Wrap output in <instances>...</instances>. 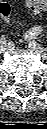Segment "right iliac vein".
Wrapping results in <instances>:
<instances>
[{
	"label": "right iliac vein",
	"instance_id": "1",
	"mask_svg": "<svg viewBox=\"0 0 47 129\" xmlns=\"http://www.w3.org/2000/svg\"><path fill=\"white\" fill-rule=\"evenodd\" d=\"M8 49V45L7 44H3L0 46V53L5 52Z\"/></svg>",
	"mask_w": 47,
	"mask_h": 129
}]
</instances>
